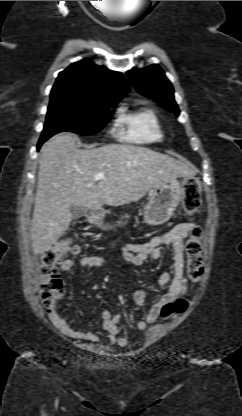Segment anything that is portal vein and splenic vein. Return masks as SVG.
I'll return each instance as SVG.
<instances>
[{
  "label": "portal vein and splenic vein",
  "mask_w": 242,
  "mask_h": 416,
  "mask_svg": "<svg viewBox=\"0 0 242 416\" xmlns=\"http://www.w3.org/2000/svg\"><path fill=\"white\" fill-rule=\"evenodd\" d=\"M94 179L95 180H101V179H105V174L103 172H99L97 174L94 175Z\"/></svg>",
  "instance_id": "1"
}]
</instances>
